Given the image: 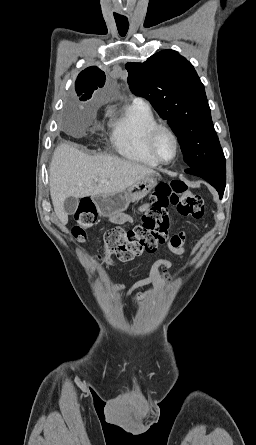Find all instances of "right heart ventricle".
I'll return each instance as SVG.
<instances>
[{"instance_id":"right-heart-ventricle-1","label":"right heart ventricle","mask_w":256,"mask_h":445,"mask_svg":"<svg viewBox=\"0 0 256 445\" xmlns=\"http://www.w3.org/2000/svg\"><path fill=\"white\" fill-rule=\"evenodd\" d=\"M158 121L151 107L134 102L110 121V140L123 157L150 167L158 166L148 150V135Z\"/></svg>"}]
</instances>
